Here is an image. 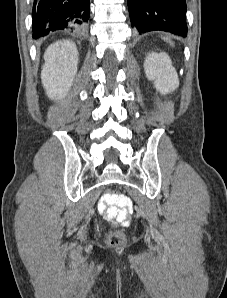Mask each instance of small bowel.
Segmentation results:
<instances>
[{
	"label": "small bowel",
	"mask_w": 227,
	"mask_h": 298,
	"mask_svg": "<svg viewBox=\"0 0 227 298\" xmlns=\"http://www.w3.org/2000/svg\"><path fill=\"white\" fill-rule=\"evenodd\" d=\"M99 210H100L101 212L104 211V208H103L100 204H99ZM117 220H118L119 222H126V220H122L121 217H118Z\"/></svg>",
	"instance_id": "obj_1"
}]
</instances>
